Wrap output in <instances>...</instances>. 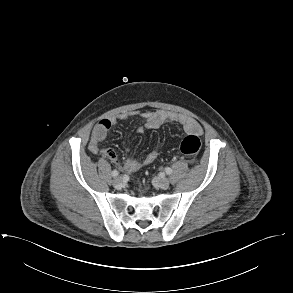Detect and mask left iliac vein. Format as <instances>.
Returning <instances> with one entry per match:
<instances>
[{"label": "left iliac vein", "mask_w": 293, "mask_h": 293, "mask_svg": "<svg viewBox=\"0 0 293 293\" xmlns=\"http://www.w3.org/2000/svg\"><path fill=\"white\" fill-rule=\"evenodd\" d=\"M153 182L157 187L161 189H167L170 185L169 180L165 177L156 178L153 180Z\"/></svg>", "instance_id": "left-iliac-vein-1"}]
</instances>
